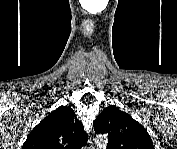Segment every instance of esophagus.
<instances>
[{
  "instance_id": "esophagus-1",
  "label": "esophagus",
  "mask_w": 177,
  "mask_h": 149,
  "mask_svg": "<svg viewBox=\"0 0 177 149\" xmlns=\"http://www.w3.org/2000/svg\"><path fill=\"white\" fill-rule=\"evenodd\" d=\"M88 149H93V143L91 140L88 141Z\"/></svg>"
}]
</instances>
